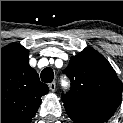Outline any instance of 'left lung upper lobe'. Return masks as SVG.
<instances>
[{
  "label": "left lung upper lobe",
  "mask_w": 123,
  "mask_h": 123,
  "mask_svg": "<svg viewBox=\"0 0 123 123\" xmlns=\"http://www.w3.org/2000/svg\"><path fill=\"white\" fill-rule=\"evenodd\" d=\"M64 72L71 81L70 91L62 96L70 118L83 115L105 122L115 113L123 84L99 52L85 48L71 57Z\"/></svg>",
  "instance_id": "5c2ea615"
}]
</instances>
